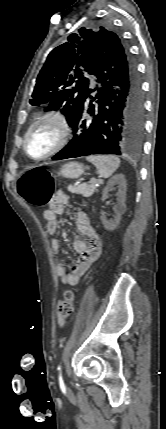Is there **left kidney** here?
<instances>
[{
  "label": "left kidney",
  "mask_w": 166,
  "mask_h": 429,
  "mask_svg": "<svg viewBox=\"0 0 166 429\" xmlns=\"http://www.w3.org/2000/svg\"><path fill=\"white\" fill-rule=\"evenodd\" d=\"M118 186V192H117V204L113 208L114 210V219L113 220H107L105 213H101V221L104 226V228L108 231H113L117 228V226L120 223L121 216L126 211V179L123 174H117L110 178L108 181L106 187L103 190L102 194V201H105L108 198V192L115 186Z\"/></svg>",
  "instance_id": "5707ae66"
}]
</instances>
